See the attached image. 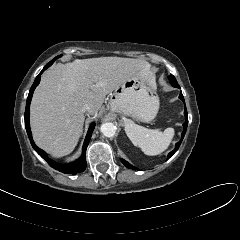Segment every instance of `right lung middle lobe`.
Wrapping results in <instances>:
<instances>
[{
    "label": "right lung middle lobe",
    "mask_w": 240,
    "mask_h": 240,
    "mask_svg": "<svg viewBox=\"0 0 240 240\" xmlns=\"http://www.w3.org/2000/svg\"><path fill=\"white\" fill-rule=\"evenodd\" d=\"M59 57H61V55H59V56L55 57L54 59L56 60V59H57V58H59Z\"/></svg>",
    "instance_id": "1"
}]
</instances>
